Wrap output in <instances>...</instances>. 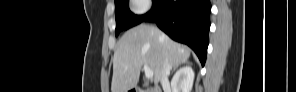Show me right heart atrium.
<instances>
[{
	"mask_svg": "<svg viewBox=\"0 0 296 92\" xmlns=\"http://www.w3.org/2000/svg\"><path fill=\"white\" fill-rule=\"evenodd\" d=\"M132 10L135 14H145L150 8V1L147 0H133L131 1Z\"/></svg>",
	"mask_w": 296,
	"mask_h": 92,
	"instance_id": "obj_1",
	"label": "right heart atrium"
}]
</instances>
